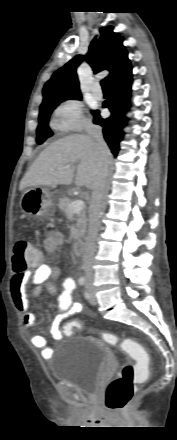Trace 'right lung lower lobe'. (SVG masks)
I'll list each match as a JSON object with an SVG mask.
<instances>
[{
    "mask_svg": "<svg viewBox=\"0 0 177 440\" xmlns=\"http://www.w3.org/2000/svg\"><path fill=\"white\" fill-rule=\"evenodd\" d=\"M110 97L103 103L104 108H108L111 116L103 119L99 111H92L94 114L93 122L103 127L104 138L109 145L112 153L117 155L120 146L119 142L123 139V128L127 124L125 113L129 106V96L132 85L131 65L119 73L109 83Z\"/></svg>",
    "mask_w": 177,
    "mask_h": 440,
    "instance_id": "98d812e1",
    "label": "right lung lower lobe"
}]
</instances>
